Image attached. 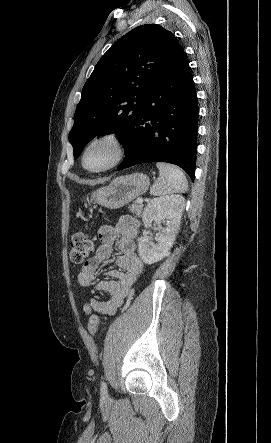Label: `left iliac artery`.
<instances>
[{
  "label": "left iliac artery",
  "mask_w": 271,
  "mask_h": 443,
  "mask_svg": "<svg viewBox=\"0 0 271 443\" xmlns=\"http://www.w3.org/2000/svg\"><path fill=\"white\" fill-rule=\"evenodd\" d=\"M100 390H101V395H102L103 397H107V396H108L107 384H106L105 382H102V383H101Z\"/></svg>",
  "instance_id": "obj_1"
}]
</instances>
